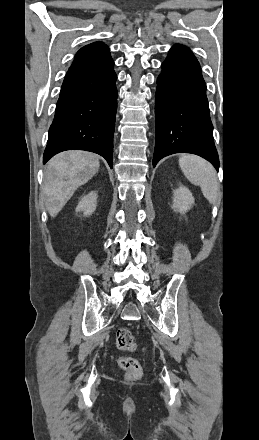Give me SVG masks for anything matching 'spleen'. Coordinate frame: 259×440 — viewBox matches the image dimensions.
Returning a JSON list of instances; mask_svg holds the SVG:
<instances>
[{"label":"spleen","mask_w":259,"mask_h":440,"mask_svg":"<svg viewBox=\"0 0 259 440\" xmlns=\"http://www.w3.org/2000/svg\"><path fill=\"white\" fill-rule=\"evenodd\" d=\"M179 166L185 177L194 185L200 186L204 197L212 204L217 200L219 184L213 166L195 155H183Z\"/></svg>","instance_id":"1"}]
</instances>
